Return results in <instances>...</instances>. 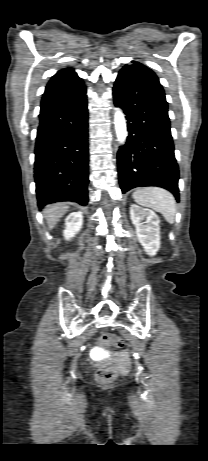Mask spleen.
<instances>
[{"mask_svg":"<svg viewBox=\"0 0 208 461\" xmlns=\"http://www.w3.org/2000/svg\"><path fill=\"white\" fill-rule=\"evenodd\" d=\"M132 197L137 204L161 213L168 223H174L176 201L174 196L167 190L158 187L139 188L133 193Z\"/></svg>","mask_w":208,"mask_h":461,"instance_id":"obj_1","label":"spleen"}]
</instances>
